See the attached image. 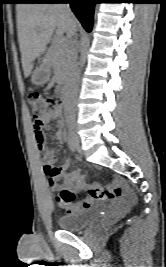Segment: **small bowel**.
Instances as JSON below:
<instances>
[{
  "mask_svg": "<svg viewBox=\"0 0 166 267\" xmlns=\"http://www.w3.org/2000/svg\"><path fill=\"white\" fill-rule=\"evenodd\" d=\"M61 115L62 108L60 105H58L53 112L46 114L42 118L43 128L45 129L51 121L61 117ZM59 124L60 127H62V122H60ZM33 130L35 133L36 143L39 150H44V144L41 146L38 141L37 125L35 124V122L33 123ZM55 138L57 141L63 140V130L61 128L56 131ZM46 156L51 161L54 160L53 152L46 153ZM69 167L70 162L66 161L64 164L56 168L57 175L55 177H48V186L50 190L53 192L56 191L58 180H62L67 190L71 192H75L78 190H87L88 195L78 204L66 203L60 198V196H57L56 200L58 204L65 210L66 214L75 213L82 209L89 208L97 198L114 199L120 196L125 190V187L120 180H115L112 186L107 187L105 189H103V186L90 187L79 173H69ZM130 199L133 200L132 195H130Z\"/></svg>",
  "mask_w": 166,
  "mask_h": 267,
  "instance_id": "1",
  "label": "small bowel"
}]
</instances>
